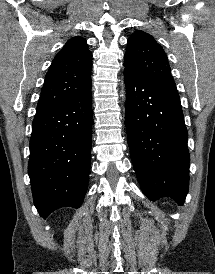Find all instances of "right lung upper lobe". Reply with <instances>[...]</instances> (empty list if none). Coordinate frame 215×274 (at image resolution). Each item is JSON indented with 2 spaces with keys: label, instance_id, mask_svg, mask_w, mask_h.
<instances>
[{
  "label": "right lung upper lobe",
  "instance_id": "cb5924a9",
  "mask_svg": "<svg viewBox=\"0 0 215 274\" xmlns=\"http://www.w3.org/2000/svg\"><path fill=\"white\" fill-rule=\"evenodd\" d=\"M92 54L80 36L67 41L46 76L36 111L51 108L91 85Z\"/></svg>",
  "mask_w": 215,
  "mask_h": 274
}]
</instances>
